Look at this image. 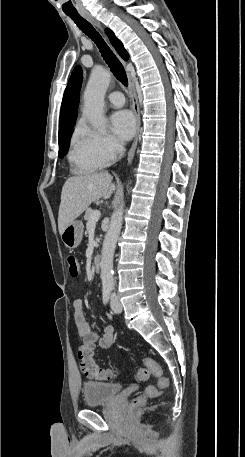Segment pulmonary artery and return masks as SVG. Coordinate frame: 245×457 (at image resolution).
Wrapping results in <instances>:
<instances>
[{
  "label": "pulmonary artery",
  "mask_w": 245,
  "mask_h": 457,
  "mask_svg": "<svg viewBox=\"0 0 245 457\" xmlns=\"http://www.w3.org/2000/svg\"><path fill=\"white\" fill-rule=\"evenodd\" d=\"M107 101L110 102L115 107H121V106H123V104L125 102L124 97H123L122 93H120V92L110 93L107 96Z\"/></svg>",
  "instance_id": "1"
}]
</instances>
